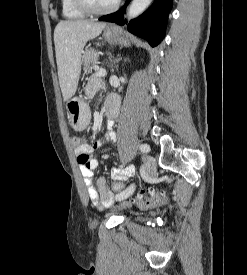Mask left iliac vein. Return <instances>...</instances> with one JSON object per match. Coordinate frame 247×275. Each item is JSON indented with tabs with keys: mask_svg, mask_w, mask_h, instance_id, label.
Returning a JSON list of instances; mask_svg holds the SVG:
<instances>
[{
	"mask_svg": "<svg viewBox=\"0 0 247 275\" xmlns=\"http://www.w3.org/2000/svg\"><path fill=\"white\" fill-rule=\"evenodd\" d=\"M144 162H145V166H146V171L149 175H153L156 171V160L154 157L152 156H145L144 157ZM134 191V190H133ZM133 191H130L128 189H126L124 192H126V196L124 199L128 198Z\"/></svg>",
	"mask_w": 247,
	"mask_h": 275,
	"instance_id": "left-iliac-vein-1",
	"label": "left iliac vein"
}]
</instances>
